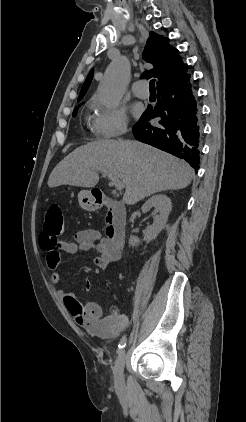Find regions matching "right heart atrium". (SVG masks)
<instances>
[{
  "label": "right heart atrium",
  "instance_id": "right-heart-atrium-1",
  "mask_svg": "<svg viewBox=\"0 0 246 422\" xmlns=\"http://www.w3.org/2000/svg\"><path fill=\"white\" fill-rule=\"evenodd\" d=\"M94 115L90 124L94 134L100 139H112L127 131L128 119L120 108H107L98 103L93 105Z\"/></svg>",
  "mask_w": 246,
  "mask_h": 422
}]
</instances>
